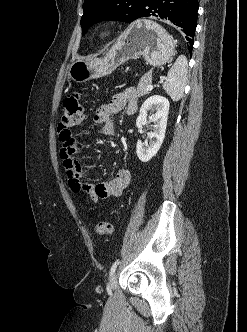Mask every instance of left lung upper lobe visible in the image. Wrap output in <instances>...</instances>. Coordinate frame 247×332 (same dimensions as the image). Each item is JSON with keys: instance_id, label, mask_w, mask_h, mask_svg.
<instances>
[{"instance_id": "5c2ea615", "label": "left lung upper lobe", "mask_w": 247, "mask_h": 332, "mask_svg": "<svg viewBox=\"0 0 247 332\" xmlns=\"http://www.w3.org/2000/svg\"><path fill=\"white\" fill-rule=\"evenodd\" d=\"M147 0H85L81 18L82 34L100 21L120 20L131 22L138 15Z\"/></svg>"}]
</instances>
